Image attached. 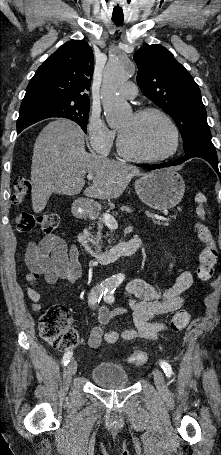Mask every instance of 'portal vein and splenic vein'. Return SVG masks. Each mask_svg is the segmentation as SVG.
<instances>
[{
    "label": "portal vein and splenic vein",
    "instance_id": "1",
    "mask_svg": "<svg viewBox=\"0 0 221 455\" xmlns=\"http://www.w3.org/2000/svg\"><path fill=\"white\" fill-rule=\"evenodd\" d=\"M95 177L93 174H87V179L88 180H93ZM150 218L152 219H156V220H163V221H169L170 218H166V217H162V216H157V215H150ZM103 220L105 222V224L110 227V228H117L118 227V224H117V221L116 219L109 213H104L103 214Z\"/></svg>",
    "mask_w": 221,
    "mask_h": 455
}]
</instances>
